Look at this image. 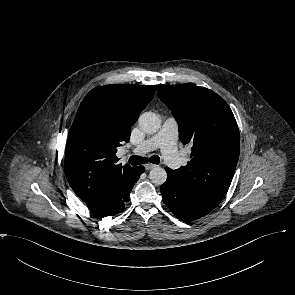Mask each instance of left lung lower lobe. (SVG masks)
Masks as SVG:
<instances>
[{
    "instance_id": "obj_1",
    "label": "left lung lower lobe",
    "mask_w": 295,
    "mask_h": 295,
    "mask_svg": "<svg viewBox=\"0 0 295 295\" xmlns=\"http://www.w3.org/2000/svg\"><path fill=\"white\" fill-rule=\"evenodd\" d=\"M167 180L161 185V194L166 206L180 220L190 222L208 213L210 209L202 207L174 177L173 170L166 167Z\"/></svg>"
}]
</instances>
